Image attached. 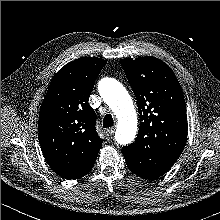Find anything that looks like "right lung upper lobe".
Returning a JSON list of instances; mask_svg holds the SVG:
<instances>
[{"mask_svg":"<svg viewBox=\"0 0 220 220\" xmlns=\"http://www.w3.org/2000/svg\"><path fill=\"white\" fill-rule=\"evenodd\" d=\"M106 63L82 57L66 64L52 79L41 105L40 146L49 166L65 179L90 172L102 147L88 100Z\"/></svg>","mask_w":220,"mask_h":220,"instance_id":"obj_1","label":"right lung upper lobe"}]
</instances>
